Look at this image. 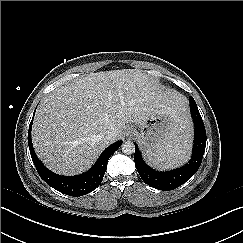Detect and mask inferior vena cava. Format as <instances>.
Instances as JSON below:
<instances>
[{
  "label": "inferior vena cava",
  "mask_w": 243,
  "mask_h": 243,
  "mask_svg": "<svg viewBox=\"0 0 243 243\" xmlns=\"http://www.w3.org/2000/svg\"><path fill=\"white\" fill-rule=\"evenodd\" d=\"M104 138L108 141L114 140L115 138V133L113 130H108L105 134H104Z\"/></svg>",
  "instance_id": "inferior-vena-cava-1"
}]
</instances>
